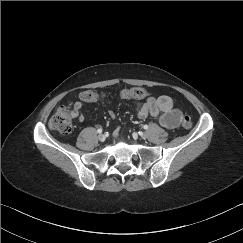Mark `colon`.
<instances>
[{"instance_id": "5ec220e1", "label": "colon", "mask_w": 243, "mask_h": 243, "mask_svg": "<svg viewBox=\"0 0 243 243\" xmlns=\"http://www.w3.org/2000/svg\"><path fill=\"white\" fill-rule=\"evenodd\" d=\"M122 95L130 99H144L147 96V92L143 88L134 87L125 89ZM82 101L84 102H96L103 98V95H99L93 91H85L81 95ZM69 104L61 106L49 119L50 129L59 132L61 134H68L72 131V120L69 110ZM182 126L185 129H190L192 127V120L189 116H184L182 118Z\"/></svg>"}]
</instances>
